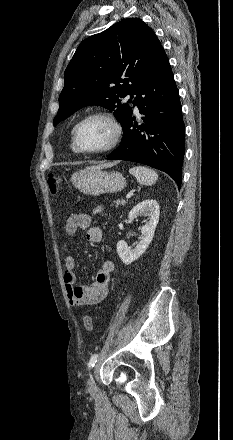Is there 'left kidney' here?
<instances>
[{"label": "left kidney", "mask_w": 233, "mask_h": 440, "mask_svg": "<svg viewBox=\"0 0 233 440\" xmlns=\"http://www.w3.org/2000/svg\"><path fill=\"white\" fill-rule=\"evenodd\" d=\"M159 214V205L154 199H146L140 202L129 212L128 218L131 221L141 215L148 217V221L141 227V238L134 248L129 247L124 240L118 241L117 253L124 264H131L146 251L153 239L159 221Z\"/></svg>", "instance_id": "1"}]
</instances>
